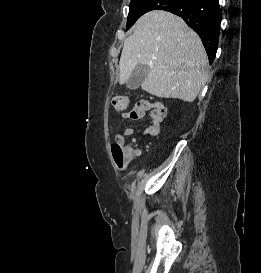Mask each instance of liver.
Listing matches in <instances>:
<instances>
[{"mask_svg":"<svg viewBox=\"0 0 261 273\" xmlns=\"http://www.w3.org/2000/svg\"><path fill=\"white\" fill-rule=\"evenodd\" d=\"M132 31L121 53L119 83H126L137 65H147L144 91L192 102L208 80V58L200 37L182 18L163 10L141 16Z\"/></svg>","mask_w":261,"mask_h":273,"instance_id":"liver-1","label":"liver"}]
</instances>
